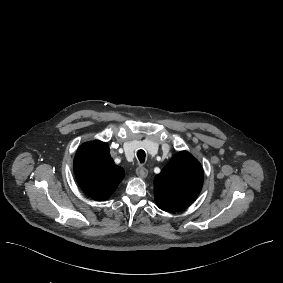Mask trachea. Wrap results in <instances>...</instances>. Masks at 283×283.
I'll use <instances>...</instances> for the list:
<instances>
[{
	"mask_svg": "<svg viewBox=\"0 0 283 283\" xmlns=\"http://www.w3.org/2000/svg\"><path fill=\"white\" fill-rule=\"evenodd\" d=\"M146 153L144 150H138L137 151V158L139 162L142 164L145 161Z\"/></svg>",
	"mask_w": 283,
	"mask_h": 283,
	"instance_id": "3493384b",
	"label": "trachea"
}]
</instances>
